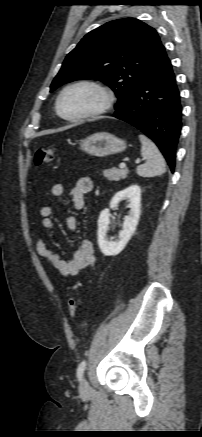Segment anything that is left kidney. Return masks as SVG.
<instances>
[{"label": "left kidney", "mask_w": 202, "mask_h": 437, "mask_svg": "<svg viewBox=\"0 0 202 437\" xmlns=\"http://www.w3.org/2000/svg\"><path fill=\"white\" fill-rule=\"evenodd\" d=\"M122 200H128L130 212L129 215L124 218L123 229L120 231L117 239L109 240L107 237L110 224V210H103L98 219V245L105 256L119 254L131 239L138 225L141 212L140 187L134 184L117 192L110 202V208L116 207Z\"/></svg>", "instance_id": "obj_1"}]
</instances>
